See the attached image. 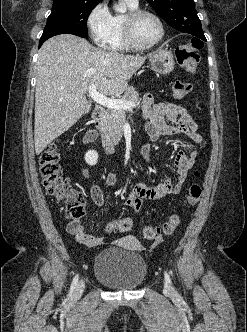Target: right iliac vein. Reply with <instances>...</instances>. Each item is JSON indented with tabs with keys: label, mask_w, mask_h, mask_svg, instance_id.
<instances>
[{
	"label": "right iliac vein",
	"mask_w": 247,
	"mask_h": 332,
	"mask_svg": "<svg viewBox=\"0 0 247 332\" xmlns=\"http://www.w3.org/2000/svg\"><path fill=\"white\" fill-rule=\"evenodd\" d=\"M84 288H85V282H84V280L79 281V283L75 287L74 296L75 297L80 296L83 293Z\"/></svg>",
	"instance_id": "63e3f726"
}]
</instances>
